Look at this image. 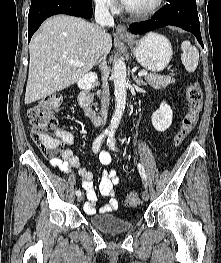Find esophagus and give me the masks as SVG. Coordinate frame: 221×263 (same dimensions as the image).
I'll return each instance as SVG.
<instances>
[{"label":"esophagus","instance_id":"1","mask_svg":"<svg viewBox=\"0 0 221 263\" xmlns=\"http://www.w3.org/2000/svg\"><path fill=\"white\" fill-rule=\"evenodd\" d=\"M116 34L120 38H131V34L128 32L126 26L119 24L116 28Z\"/></svg>","mask_w":221,"mask_h":263}]
</instances>
